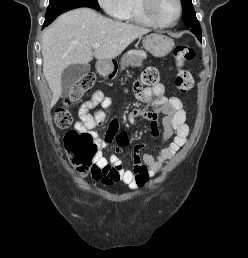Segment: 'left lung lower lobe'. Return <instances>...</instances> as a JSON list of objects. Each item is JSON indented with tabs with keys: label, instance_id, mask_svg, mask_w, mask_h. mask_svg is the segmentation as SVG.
<instances>
[{
	"label": "left lung lower lobe",
	"instance_id": "1",
	"mask_svg": "<svg viewBox=\"0 0 248 258\" xmlns=\"http://www.w3.org/2000/svg\"><path fill=\"white\" fill-rule=\"evenodd\" d=\"M191 32H193L197 37H198V40L201 41V29H190Z\"/></svg>",
	"mask_w": 248,
	"mask_h": 258
}]
</instances>
